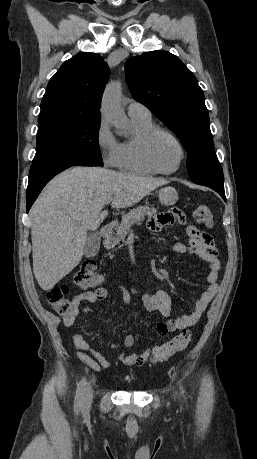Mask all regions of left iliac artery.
Here are the masks:
<instances>
[{
	"label": "left iliac artery",
	"mask_w": 257,
	"mask_h": 459,
	"mask_svg": "<svg viewBox=\"0 0 257 459\" xmlns=\"http://www.w3.org/2000/svg\"><path fill=\"white\" fill-rule=\"evenodd\" d=\"M180 389H181V393H184V390H183V387H182V386H180Z\"/></svg>",
	"instance_id": "1"
}]
</instances>
